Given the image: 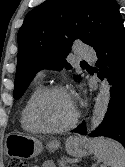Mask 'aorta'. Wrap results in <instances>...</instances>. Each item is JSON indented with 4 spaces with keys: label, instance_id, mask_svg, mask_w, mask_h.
Returning <instances> with one entry per match:
<instances>
[{
    "label": "aorta",
    "instance_id": "1",
    "mask_svg": "<svg viewBox=\"0 0 125 167\" xmlns=\"http://www.w3.org/2000/svg\"><path fill=\"white\" fill-rule=\"evenodd\" d=\"M109 100H110V85L108 84L107 80L104 79L100 83L99 92L95 98V104H94L93 114L91 117L89 131L94 130L103 121V118L108 108Z\"/></svg>",
    "mask_w": 125,
    "mask_h": 167
}]
</instances>
